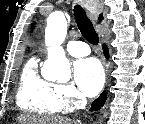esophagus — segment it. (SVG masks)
<instances>
[{
    "mask_svg": "<svg viewBox=\"0 0 145 124\" xmlns=\"http://www.w3.org/2000/svg\"><path fill=\"white\" fill-rule=\"evenodd\" d=\"M86 8H87L89 17L92 19L93 22H95L101 10L100 5L98 4L97 1H92L91 8L88 5H86Z\"/></svg>",
    "mask_w": 145,
    "mask_h": 124,
    "instance_id": "34e87169",
    "label": "esophagus"
}]
</instances>
